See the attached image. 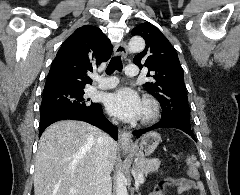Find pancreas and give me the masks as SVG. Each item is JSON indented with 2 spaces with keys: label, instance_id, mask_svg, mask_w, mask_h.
I'll return each instance as SVG.
<instances>
[{
  "label": "pancreas",
  "instance_id": "1",
  "mask_svg": "<svg viewBox=\"0 0 240 195\" xmlns=\"http://www.w3.org/2000/svg\"><path fill=\"white\" fill-rule=\"evenodd\" d=\"M160 165L159 159L157 157H151V159H138L137 163H135V169L137 173H143V175H147L150 171H157Z\"/></svg>",
  "mask_w": 240,
  "mask_h": 195
}]
</instances>
